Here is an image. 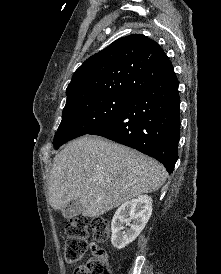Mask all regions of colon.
Wrapping results in <instances>:
<instances>
[{
	"mask_svg": "<svg viewBox=\"0 0 221 274\" xmlns=\"http://www.w3.org/2000/svg\"><path fill=\"white\" fill-rule=\"evenodd\" d=\"M95 243L92 244V255L86 262L78 266L74 274H111L107 252L98 243L105 242L110 234V226L106 219L98 217L90 222ZM89 222L83 216L70 219L66 225L65 258L69 263L82 259L88 248Z\"/></svg>",
	"mask_w": 221,
	"mask_h": 274,
	"instance_id": "obj_1",
	"label": "colon"
}]
</instances>
